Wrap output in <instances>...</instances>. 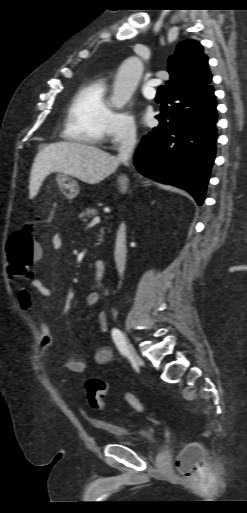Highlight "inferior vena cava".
<instances>
[{
    "label": "inferior vena cava",
    "mask_w": 247,
    "mask_h": 513,
    "mask_svg": "<svg viewBox=\"0 0 247 513\" xmlns=\"http://www.w3.org/2000/svg\"><path fill=\"white\" fill-rule=\"evenodd\" d=\"M136 144V130L134 127H127L122 132L121 143L118 148V160L122 162H129L132 157L133 150ZM115 260L117 264L118 273L123 275L126 260V240H125V226L121 224L116 239L115 247Z\"/></svg>",
    "instance_id": "602c4592"
}]
</instances>
